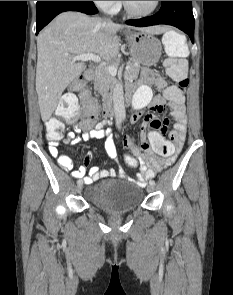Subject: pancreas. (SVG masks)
<instances>
[{
  "instance_id": "1",
  "label": "pancreas",
  "mask_w": 233,
  "mask_h": 295,
  "mask_svg": "<svg viewBox=\"0 0 233 295\" xmlns=\"http://www.w3.org/2000/svg\"><path fill=\"white\" fill-rule=\"evenodd\" d=\"M127 64L130 65V69L126 71V74L133 78L137 77L140 70V63L134 58H130ZM112 65L118 66L119 61H113ZM116 84L117 79L108 72L106 65L97 69L94 78V90L97 91L104 99L111 95V91Z\"/></svg>"
}]
</instances>
